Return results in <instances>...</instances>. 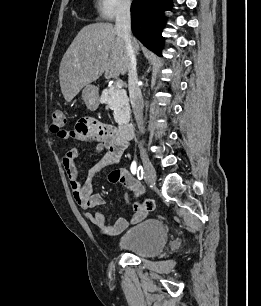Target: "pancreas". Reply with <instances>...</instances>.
<instances>
[{"mask_svg": "<svg viewBox=\"0 0 261 306\" xmlns=\"http://www.w3.org/2000/svg\"><path fill=\"white\" fill-rule=\"evenodd\" d=\"M100 101L113 110L114 119L117 123L121 124L129 119V99L124 89L112 85L102 91Z\"/></svg>", "mask_w": 261, "mask_h": 306, "instance_id": "cf45deb5", "label": "pancreas"}]
</instances>
